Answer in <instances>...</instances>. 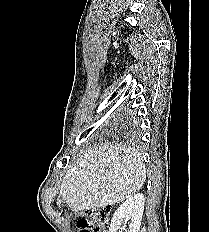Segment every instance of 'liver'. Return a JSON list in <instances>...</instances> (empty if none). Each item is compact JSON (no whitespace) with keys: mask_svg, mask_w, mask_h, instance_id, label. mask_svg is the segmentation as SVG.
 Here are the masks:
<instances>
[{"mask_svg":"<svg viewBox=\"0 0 209 232\" xmlns=\"http://www.w3.org/2000/svg\"><path fill=\"white\" fill-rule=\"evenodd\" d=\"M145 179L143 157L134 147L89 148L68 168L59 194L77 213L127 200Z\"/></svg>","mask_w":209,"mask_h":232,"instance_id":"obj_1","label":"liver"}]
</instances>
